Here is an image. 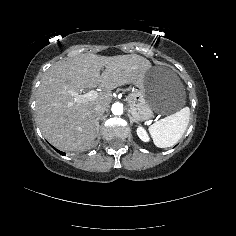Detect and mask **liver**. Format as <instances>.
Instances as JSON below:
<instances>
[{
	"label": "liver",
	"mask_w": 236,
	"mask_h": 236,
	"mask_svg": "<svg viewBox=\"0 0 236 236\" xmlns=\"http://www.w3.org/2000/svg\"><path fill=\"white\" fill-rule=\"evenodd\" d=\"M151 67L138 54L104 57L84 53L58 61L44 73L38 88L36 122L44 138L64 152L87 149L97 133L94 106L107 109L112 98L109 90L125 83L140 84ZM95 86L105 91L91 101L74 102L71 90Z\"/></svg>",
	"instance_id": "1"
}]
</instances>
